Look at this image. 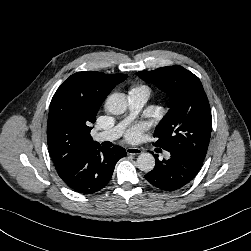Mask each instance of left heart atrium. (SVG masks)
<instances>
[{
    "label": "left heart atrium",
    "mask_w": 251,
    "mask_h": 251,
    "mask_svg": "<svg viewBox=\"0 0 251 251\" xmlns=\"http://www.w3.org/2000/svg\"><path fill=\"white\" fill-rule=\"evenodd\" d=\"M146 127L147 126L144 123L133 125L127 130L126 139L129 142L137 141L141 137L142 132L146 129Z\"/></svg>",
    "instance_id": "39dd6f15"
}]
</instances>
